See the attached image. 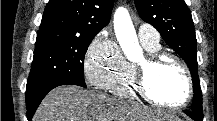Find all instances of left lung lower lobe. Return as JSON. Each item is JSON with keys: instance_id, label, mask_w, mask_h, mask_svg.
I'll return each mask as SVG.
<instances>
[{"instance_id": "obj_1", "label": "left lung lower lobe", "mask_w": 217, "mask_h": 121, "mask_svg": "<svg viewBox=\"0 0 217 121\" xmlns=\"http://www.w3.org/2000/svg\"><path fill=\"white\" fill-rule=\"evenodd\" d=\"M184 113L187 114L188 116L192 117V114L188 110H184Z\"/></svg>"}]
</instances>
